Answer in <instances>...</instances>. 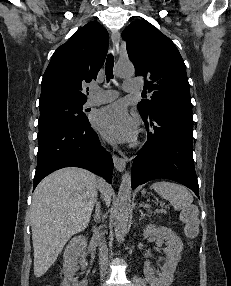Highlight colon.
I'll use <instances>...</instances> for the list:
<instances>
[{
  "label": "colon",
  "mask_w": 231,
  "mask_h": 286,
  "mask_svg": "<svg viewBox=\"0 0 231 286\" xmlns=\"http://www.w3.org/2000/svg\"><path fill=\"white\" fill-rule=\"evenodd\" d=\"M181 221L184 224L185 234L188 238H194L198 233L197 210L190 205L181 212ZM50 286V285H46Z\"/></svg>",
  "instance_id": "obj_1"
}]
</instances>
